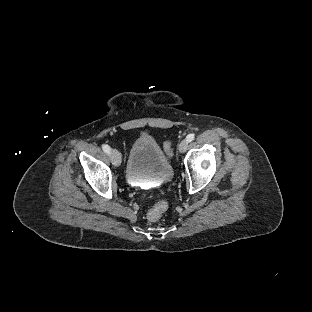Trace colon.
I'll return each mask as SVG.
<instances>
[{
  "label": "colon",
  "mask_w": 312,
  "mask_h": 312,
  "mask_svg": "<svg viewBox=\"0 0 312 312\" xmlns=\"http://www.w3.org/2000/svg\"><path fill=\"white\" fill-rule=\"evenodd\" d=\"M163 211H164V207H161L159 205H154L147 213L148 218H150L151 220H155L159 215L163 213Z\"/></svg>",
  "instance_id": "obj_1"
}]
</instances>
